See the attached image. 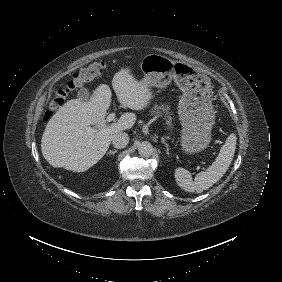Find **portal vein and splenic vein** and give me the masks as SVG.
I'll return each mask as SVG.
<instances>
[{
	"label": "portal vein and splenic vein",
	"instance_id": "18ae733b",
	"mask_svg": "<svg viewBox=\"0 0 282 282\" xmlns=\"http://www.w3.org/2000/svg\"><path fill=\"white\" fill-rule=\"evenodd\" d=\"M114 118H115V113L109 114L106 118V121L111 122L113 121Z\"/></svg>",
	"mask_w": 282,
	"mask_h": 282
}]
</instances>
